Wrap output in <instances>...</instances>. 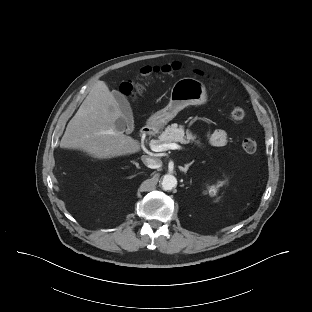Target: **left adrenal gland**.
<instances>
[{
  "mask_svg": "<svg viewBox=\"0 0 312 312\" xmlns=\"http://www.w3.org/2000/svg\"><path fill=\"white\" fill-rule=\"evenodd\" d=\"M192 164H193V161L190 162L189 164L185 165V167H180V170L186 174L187 171H188V169H189V167H190Z\"/></svg>",
  "mask_w": 312,
  "mask_h": 312,
  "instance_id": "left-adrenal-gland-1",
  "label": "left adrenal gland"
}]
</instances>
